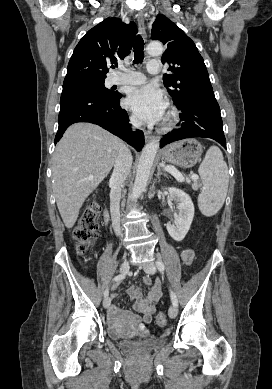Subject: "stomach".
Returning <instances> with one entry per match:
<instances>
[{"instance_id":"1","label":"stomach","mask_w":272,"mask_h":389,"mask_svg":"<svg viewBox=\"0 0 272 389\" xmlns=\"http://www.w3.org/2000/svg\"><path fill=\"white\" fill-rule=\"evenodd\" d=\"M203 147L196 139L189 138L174 142L162 150L165 161L183 168H190L200 160Z\"/></svg>"}]
</instances>
